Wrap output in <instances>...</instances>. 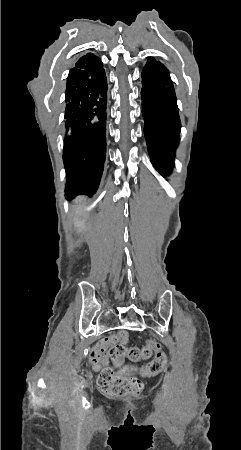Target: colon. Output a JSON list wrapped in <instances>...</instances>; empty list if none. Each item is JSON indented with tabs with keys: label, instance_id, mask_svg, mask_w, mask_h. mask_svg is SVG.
Returning <instances> with one entry per match:
<instances>
[{
	"label": "colon",
	"instance_id": "obj_1",
	"mask_svg": "<svg viewBox=\"0 0 241 450\" xmlns=\"http://www.w3.org/2000/svg\"><path fill=\"white\" fill-rule=\"evenodd\" d=\"M109 356L116 362L117 365L125 358L130 360H143L155 354V359L151 361L145 371L148 375H155L159 373L165 366V350L155 341L150 340L143 348L125 347L123 345L113 346L109 352ZM132 368L130 365L127 367ZM120 373V374H119ZM119 373L109 371L107 373L100 372L97 378V387L108 398L126 397L133 394H138L143 389L142 382L133 377L124 376L126 370L121 368Z\"/></svg>",
	"mask_w": 241,
	"mask_h": 450
}]
</instances>
